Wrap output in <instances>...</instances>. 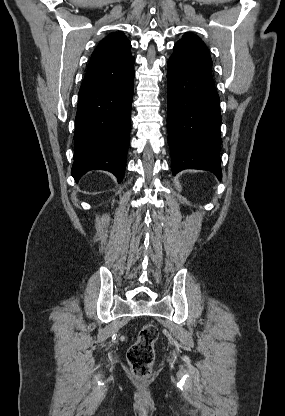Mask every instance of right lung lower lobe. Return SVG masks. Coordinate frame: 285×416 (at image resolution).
<instances>
[{
	"label": "right lung lower lobe",
	"instance_id": "right-lung-lower-lobe-1",
	"mask_svg": "<svg viewBox=\"0 0 285 416\" xmlns=\"http://www.w3.org/2000/svg\"><path fill=\"white\" fill-rule=\"evenodd\" d=\"M134 71L119 82L79 96L71 174L76 182L89 170L124 176L129 145Z\"/></svg>",
	"mask_w": 285,
	"mask_h": 416
}]
</instances>
